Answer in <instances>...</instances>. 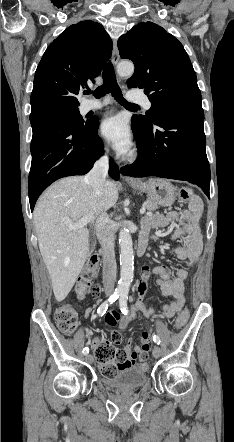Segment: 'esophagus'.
<instances>
[{
	"label": "esophagus",
	"mask_w": 234,
	"mask_h": 442,
	"mask_svg": "<svg viewBox=\"0 0 234 442\" xmlns=\"http://www.w3.org/2000/svg\"><path fill=\"white\" fill-rule=\"evenodd\" d=\"M118 61H119V51H118V47H117V41L114 40L113 41V51H112V62L114 65H116L118 63ZM121 172H122V178L125 181H127V182L136 181L135 178H133L129 175H126L124 169H121Z\"/></svg>",
	"instance_id": "obj_1"
}]
</instances>
